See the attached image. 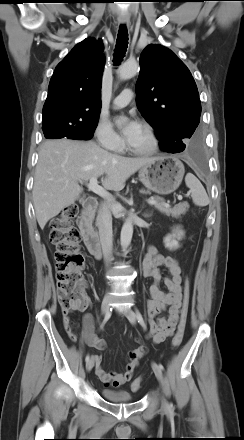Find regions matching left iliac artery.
<instances>
[{
	"label": "left iliac artery",
	"instance_id": "1",
	"mask_svg": "<svg viewBox=\"0 0 244 440\" xmlns=\"http://www.w3.org/2000/svg\"><path fill=\"white\" fill-rule=\"evenodd\" d=\"M135 310H136V316H137V320H138L139 324H140L142 327L145 328V323H144V320H143L142 314L140 313V311H139L137 308H136ZM158 367H159L161 370H164V367H163L162 364H159Z\"/></svg>",
	"mask_w": 244,
	"mask_h": 440
}]
</instances>
